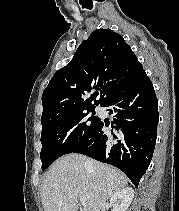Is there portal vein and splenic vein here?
<instances>
[{"label": "portal vein and splenic vein", "mask_w": 179, "mask_h": 211, "mask_svg": "<svg viewBox=\"0 0 179 211\" xmlns=\"http://www.w3.org/2000/svg\"><path fill=\"white\" fill-rule=\"evenodd\" d=\"M87 197L86 196H80L79 200L81 202V204H85Z\"/></svg>", "instance_id": "portal-vein-and-splenic-vein-1"}]
</instances>
